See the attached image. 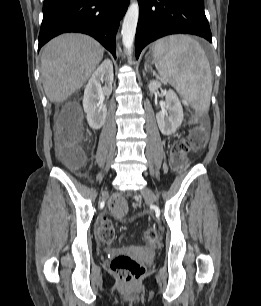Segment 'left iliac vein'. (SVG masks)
I'll return each mask as SVG.
<instances>
[{"label":"left iliac vein","instance_id":"1","mask_svg":"<svg viewBox=\"0 0 261 306\" xmlns=\"http://www.w3.org/2000/svg\"><path fill=\"white\" fill-rule=\"evenodd\" d=\"M141 193L146 200L151 201V202L157 201V196L154 194V192L150 188L144 187Z\"/></svg>","mask_w":261,"mask_h":306}]
</instances>
